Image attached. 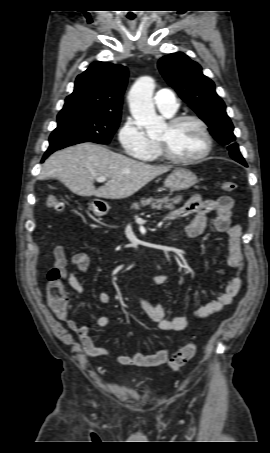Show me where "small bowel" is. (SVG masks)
Listing matches in <instances>:
<instances>
[{
  "instance_id": "small-bowel-1",
  "label": "small bowel",
  "mask_w": 270,
  "mask_h": 453,
  "mask_svg": "<svg viewBox=\"0 0 270 453\" xmlns=\"http://www.w3.org/2000/svg\"><path fill=\"white\" fill-rule=\"evenodd\" d=\"M234 201L229 196H221L216 200H203L199 196L191 197L185 205L166 216V220H173L178 217L193 215L192 220L186 226V234L189 238L199 237L206 227V215L214 212V228L217 232L227 233L226 251L227 265L235 271L231 281L227 284L225 291L216 300L208 302L192 314H177L167 317L164 307L159 301L151 304L144 296L140 297V303L149 318L155 322L162 331H182L189 327L193 322L202 320L210 315L221 311L225 306L232 303L233 298L242 286L241 272L244 268V257L241 246L242 228L232 222V208ZM54 267L60 271L61 277L68 282L71 288L78 294L84 295L85 288L76 276V271L86 273L90 266V258L85 252H77L72 256L68 268V261L62 245L53 248ZM170 279L168 273H161L152 277L151 281L155 285L167 283ZM96 302L106 306L107 312L110 311V296L107 292H101L96 297ZM64 321L67 327L75 332L79 337L84 351L92 357H100L108 354L109 350L104 346H98L90 336V326L79 325L68 314L58 316ZM110 322L108 314L98 317L92 324L95 327H106ZM169 349H162L152 354L135 352L133 354H121L117 361L125 366L154 367L166 363L169 359Z\"/></svg>"
}]
</instances>
